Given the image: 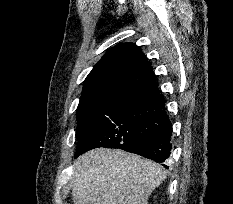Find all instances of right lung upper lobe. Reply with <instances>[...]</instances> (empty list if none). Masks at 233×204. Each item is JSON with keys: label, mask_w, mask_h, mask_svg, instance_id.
<instances>
[{"label": "right lung upper lobe", "mask_w": 233, "mask_h": 204, "mask_svg": "<svg viewBox=\"0 0 233 204\" xmlns=\"http://www.w3.org/2000/svg\"><path fill=\"white\" fill-rule=\"evenodd\" d=\"M84 83L77 119L111 104L160 96L152 66L133 43H123L108 51Z\"/></svg>", "instance_id": "1"}]
</instances>
